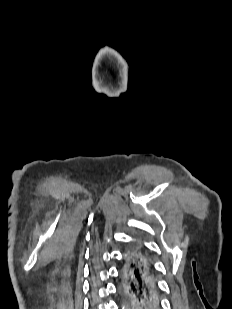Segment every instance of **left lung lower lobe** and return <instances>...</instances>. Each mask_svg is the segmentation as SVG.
Listing matches in <instances>:
<instances>
[{
	"instance_id": "0a47b994",
	"label": "left lung lower lobe",
	"mask_w": 232,
	"mask_h": 309,
	"mask_svg": "<svg viewBox=\"0 0 232 309\" xmlns=\"http://www.w3.org/2000/svg\"><path fill=\"white\" fill-rule=\"evenodd\" d=\"M122 290L133 309H160L161 299L154 263L137 244L127 250L121 268Z\"/></svg>"
}]
</instances>
